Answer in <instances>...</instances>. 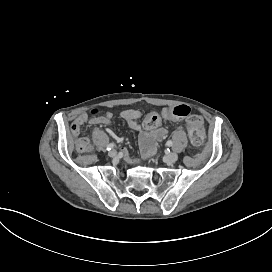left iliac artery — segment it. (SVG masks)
<instances>
[{
  "mask_svg": "<svg viewBox=\"0 0 272 272\" xmlns=\"http://www.w3.org/2000/svg\"><path fill=\"white\" fill-rule=\"evenodd\" d=\"M172 144H173V143H172L171 140H168L167 143H166L167 146H172Z\"/></svg>",
  "mask_w": 272,
  "mask_h": 272,
  "instance_id": "44dca946",
  "label": "left iliac artery"
}]
</instances>
